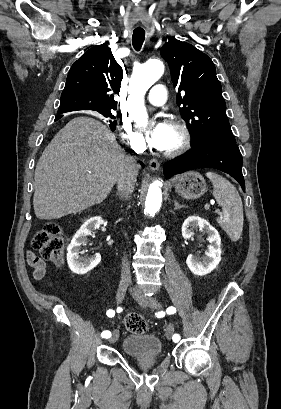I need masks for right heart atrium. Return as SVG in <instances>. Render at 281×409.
<instances>
[{
	"instance_id": "right-heart-atrium-1",
	"label": "right heart atrium",
	"mask_w": 281,
	"mask_h": 409,
	"mask_svg": "<svg viewBox=\"0 0 281 409\" xmlns=\"http://www.w3.org/2000/svg\"><path fill=\"white\" fill-rule=\"evenodd\" d=\"M143 115H130V120L123 123L121 128L122 142L134 151L144 150V144L136 132V128L140 125Z\"/></svg>"
}]
</instances>
